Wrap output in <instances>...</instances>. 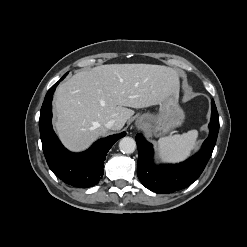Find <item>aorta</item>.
Here are the masks:
<instances>
[{
  "instance_id": "1",
  "label": "aorta",
  "mask_w": 247,
  "mask_h": 247,
  "mask_svg": "<svg viewBox=\"0 0 247 247\" xmlns=\"http://www.w3.org/2000/svg\"><path fill=\"white\" fill-rule=\"evenodd\" d=\"M119 149L124 154H131L136 149V142L131 137H124L119 142Z\"/></svg>"
}]
</instances>
